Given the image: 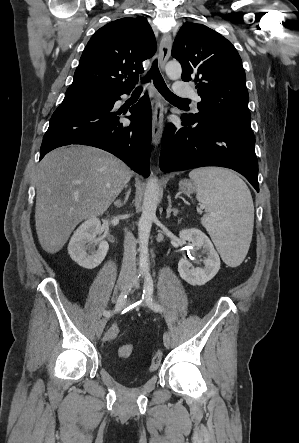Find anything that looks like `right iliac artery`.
I'll use <instances>...</instances> for the list:
<instances>
[{"instance_id": "obj_1", "label": "right iliac artery", "mask_w": 299, "mask_h": 443, "mask_svg": "<svg viewBox=\"0 0 299 443\" xmlns=\"http://www.w3.org/2000/svg\"><path fill=\"white\" fill-rule=\"evenodd\" d=\"M139 276H140V275H139ZM139 276L136 277V278L133 280V282L121 292V294L119 295V297H118V299H117V302H116V305H115V309H114L113 311L105 310V311L103 312V315H104V316H106V317H110V316L113 315V313H115V312H117V311H120V310L123 308V306H124L125 303H126L127 294H128V292H129V290L131 289V287L133 286V284H135V283L137 282V279L139 278Z\"/></svg>"}]
</instances>
